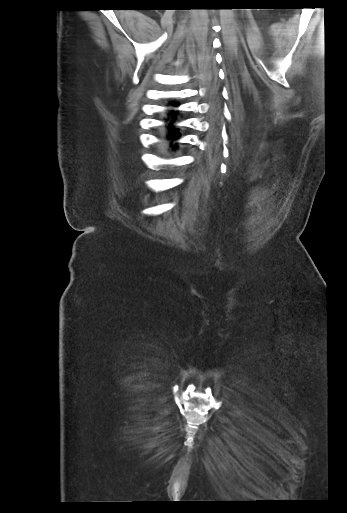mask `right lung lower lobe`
I'll use <instances>...</instances> for the list:
<instances>
[{"mask_svg":"<svg viewBox=\"0 0 347 513\" xmlns=\"http://www.w3.org/2000/svg\"><path fill=\"white\" fill-rule=\"evenodd\" d=\"M171 114H172L173 116H175V112H174V111H172V112H171ZM172 122H173V120H172V121H170V123H172ZM169 129H170V138H172V139H174V140H175V139H177V138H179L178 130H177V129H173L171 124H170V126H169ZM173 132H175V133H173ZM170 138H169V139H170Z\"/></svg>","mask_w":347,"mask_h":513,"instance_id":"98d812e1","label":"right lung lower lobe"}]
</instances>
